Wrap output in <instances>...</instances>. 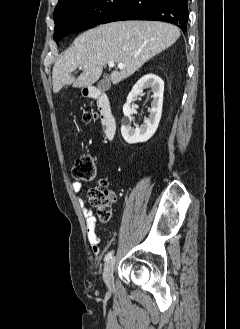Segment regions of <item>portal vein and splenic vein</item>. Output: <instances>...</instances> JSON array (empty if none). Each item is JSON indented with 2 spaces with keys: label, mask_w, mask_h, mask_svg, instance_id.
<instances>
[{
  "label": "portal vein and splenic vein",
  "mask_w": 240,
  "mask_h": 329,
  "mask_svg": "<svg viewBox=\"0 0 240 329\" xmlns=\"http://www.w3.org/2000/svg\"><path fill=\"white\" fill-rule=\"evenodd\" d=\"M108 65H109V67H114V65H115V64H114V61H109V62H108ZM84 67H85V66H84ZM124 67H125V64H123V63H119V64H118V68H119V69H123Z\"/></svg>",
  "instance_id": "obj_1"
}]
</instances>
